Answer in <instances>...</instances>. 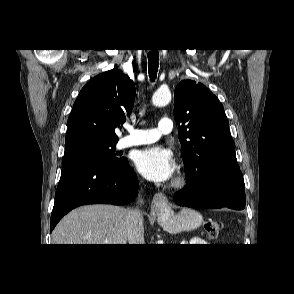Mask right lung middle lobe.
<instances>
[{
	"instance_id": "1",
	"label": "right lung middle lobe",
	"mask_w": 294,
	"mask_h": 294,
	"mask_svg": "<svg viewBox=\"0 0 294 294\" xmlns=\"http://www.w3.org/2000/svg\"><path fill=\"white\" fill-rule=\"evenodd\" d=\"M116 142L82 139L66 144L62 167L80 161H99L106 164H122L127 158H117Z\"/></svg>"
}]
</instances>
